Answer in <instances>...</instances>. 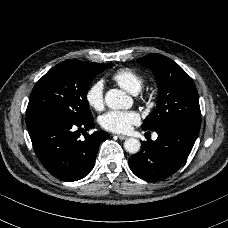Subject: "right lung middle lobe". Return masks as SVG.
<instances>
[{
  "instance_id": "obj_1",
  "label": "right lung middle lobe",
  "mask_w": 228,
  "mask_h": 228,
  "mask_svg": "<svg viewBox=\"0 0 228 228\" xmlns=\"http://www.w3.org/2000/svg\"><path fill=\"white\" fill-rule=\"evenodd\" d=\"M112 64L69 59L50 69L34 86L26 119L45 114L65 116L76 121L92 119L86 99L94 77Z\"/></svg>"
}]
</instances>
